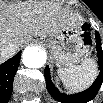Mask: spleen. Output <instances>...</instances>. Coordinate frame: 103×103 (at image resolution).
<instances>
[{
    "mask_svg": "<svg viewBox=\"0 0 103 103\" xmlns=\"http://www.w3.org/2000/svg\"><path fill=\"white\" fill-rule=\"evenodd\" d=\"M57 74L63 85L71 92L87 88L96 77V66L92 59H82L80 65L58 68Z\"/></svg>",
    "mask_w": 103,
    "mask_h": 103,
    "instance_id": "spleen-1",
    "label": "spleen"
}]
</instances>
